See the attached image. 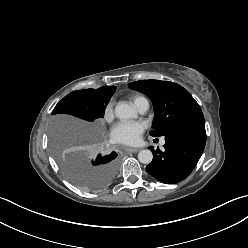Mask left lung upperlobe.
Returning a JSON list of instances; mask_svg holds the SVG:
<instances>
[{
  "instance_id": "1",
  "label": "left lung upper lobe",
  "mask_w": 248,
  "mask_h": 248,
  "mask_svg": "<svg viewBox=\"0 0 248 248\" xmlns=\"http://www.w3.org/2000/svg\"><path fill=\"white\" fill-rule=\"evenodd\" d=\"M128 86L147 95L153 103L155 118L150 132L153 137L165 136L186 120L203 115L190 93L176 83L141 80Z\"/></svg>"
}]
</instances>
